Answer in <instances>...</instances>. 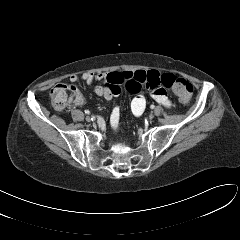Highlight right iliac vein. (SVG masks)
Returning a JSON list of instances; mask_svg holds the SVG:
<instances>
[{"label": "right iliac vein", "instance_id": "1", "mask_svg": "<svg viewBox=\"0 0 240 240\" xmlns=\"http://www.w3.org/2000/svg\"><path fill=\"white\" fill-rule=\"evenodd\" d=\"M86 121L90 122L91 121V117L90 116H86Z\"/></svg>", "mask_w": 240, "mask_h": 240}]
</instances>
